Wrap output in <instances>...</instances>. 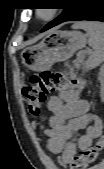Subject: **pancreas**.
Segmentation results:
<instances>
[{"label": "pancreas", "mask_w": 104, "mask_h": 169, "mask_svg": "<svg viewBox=\"0 0 104 169\" xmlns=\"http://www.w3.org/2000/svg\"><path fill=\"white\" fill-rule=\"evenodd\" d=\"M76 67H78L79 66V64H77V65H75Z\"/></svg>", "instance_id": "cf45deb5"}]
</instances>
